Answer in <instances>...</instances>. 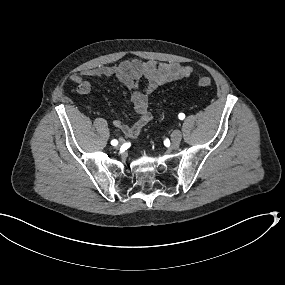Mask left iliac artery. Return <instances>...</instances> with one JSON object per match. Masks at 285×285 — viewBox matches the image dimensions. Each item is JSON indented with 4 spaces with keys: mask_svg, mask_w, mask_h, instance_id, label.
Wrapping results in <instances>:
<instances>
[{
    "mask_svg": "<svg viewBox=\"0 0 285 285\" xmlns=\"http://www.w3.org/2000/svg\"><path fill=\"white\" fill-rule=\"evenodd\" d=\"M178 117H179L180 120H183L185 118V114L184 113H180L178 115Z\"/></svg>",
    "mask_w": 285,
    "mask_h": 285,
    "instance_id": "obj_1",
    "label": "left iliac artery"
}]
</instances>
